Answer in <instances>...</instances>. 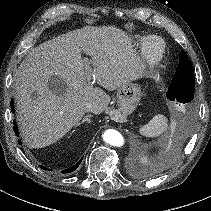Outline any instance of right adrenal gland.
<instances>
[{
    "label": "right adrenal gland",
    "instance_id": "obj_1",
    "mask_svg": "<svg viewBox=\"0 0 211 211\" xmlns=\"http://www.w3.org/2000/svg\"><path fill=\"white\" fill-rule=\"evenodd\" d=\"M92 116L93 115H86L81 122H79V123L76 124L75 128L78 127V126H80L81 124H83L85 122L90 123V117H92ZM73 131H75V130H73Z\"/></svg>",
    "mask_w": 211,
    "mask_h": 211
}]
</instances>
